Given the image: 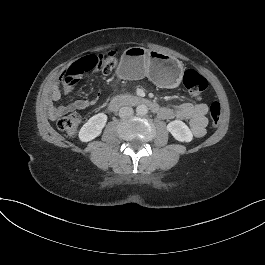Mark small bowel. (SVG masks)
<instances>
[{
  "label": "small bowel",
  "instance_id": "1",
  "mask_svg": "<svg viewBox=\"0 0 265 265\" xmlns=\"http://www.w3.org/2000/svg\"><path fill=\"white\" fill-rule=\"evenodd\" d=\"M71 87L65 88V92L69 93ZM60 90L58 86H53L51 90V99L57 101L60 99ZM95 100L79 99L69 103L66 106H57L51 108L50 114L52 117H59L75 109H85L93 105ZM162 119H179L190 121V129L192 134L199 138L205 135L208 112V106L205 103H190L185 102L175 107H163Z\"/></svg>",
  "mask_w": 265,
  "mask_h": 265
}]
</instances>
